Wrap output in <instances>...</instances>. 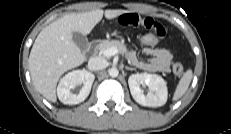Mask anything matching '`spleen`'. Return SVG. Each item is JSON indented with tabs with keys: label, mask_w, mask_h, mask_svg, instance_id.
Returning <instances> with one entry per match:
<instances>
[{
	"label": "spleen",
	"mask_w": 231,
	"mask_h": 134,
	"mask_svg": "<svg viewBox=\"0 0 231 134\" xmlns=\"http://www.w3.org/2000/svg\"><path fill=\"white\" fill-rule=\"evenodd\" d=\"M193 77V73L191 69H188L183 76L181 77V79L179 80L177 87L175 89L174 92V96H173V101H176L178 99H180L187 91L190 82L192 80Z\"/></svg>",
	"instance_id": "spleen-1"
}]
</instances>
